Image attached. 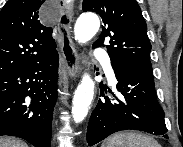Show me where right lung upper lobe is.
<instances>
[{"label": "right lung upper lobe", "mask_w": 183, "mask_h": 147, "mask_svg": "<svg viewBox=\"0 0 183 147\" xmlns=\"http://www.w3.org/2000/svg\"><path fill=\"white\" fill-rule=\"evenodd\" d=\"M43 2L9 0L0 11V76L57 52L52 28L38 19Z\"/></svg>", "instance_id": "cb5924a9"}]
</instances>
